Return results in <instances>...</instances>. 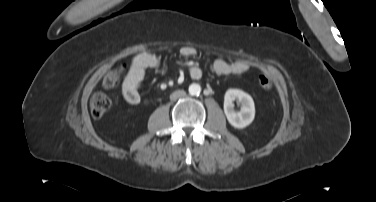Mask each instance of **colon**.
<instances>
[{
    "mask_svg": "<svg viewBox=\"0 0 376 202\" xmlns=\"http://www.w3.org/2000/svg\"><path fill=\"white\" fill-rule=\"evenodd\" d=\"M119 83L118 74L115 71L108 72L102 81V84L105 88L110 89L114 88ZM258 86L261 89L268 90L271 87V80L269 76L265 74H260L257 79ZM111 100L109 96L103 92H97L93 94L90 99V110L91 114L95 118L102 117L110 108Z\"/></svg>",
    "mask_w": 376,
    "mask_h": 202,
    "instance_id": "obj_1",
    "label": "colon"
}]
</instances>
